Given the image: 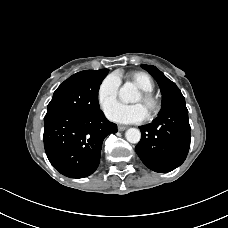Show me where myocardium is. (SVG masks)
Instances as JSON below:
<instances>
[{
	"mask_svg": "<svg viewBox=\"0 0 228 228\" xmlns=\"http://www.w3.org/2000/svg\"><path fill=\"white\" fill-rule=\"evenodd\" d=\"M143 101L149 106L148 115L156 116L162 108L161 100L153 92L141 91Z\"/></svg>",
	"mask_w": 228,
	"mask_h": 228,
	"instance_id": "obj_1",
	"label": "myocardium"
}]
</instances>
